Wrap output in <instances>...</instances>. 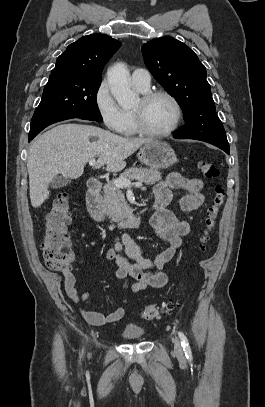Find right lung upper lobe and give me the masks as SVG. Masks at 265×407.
Returning a JSON list of instances; mask_svg holds the SVG:
<instances>
[{
    "mask_svg": "<svg viewBox=\"0 0 265 407\" xmlns=\"http://www.w3.org/2000/svg\"><path fill=\"white\" fill-rule=\"evenodd\" d=\"M121 46V42L103 34L83 36L70 44L56 61L51 76L66 74L101 80L105 64Z\"/></svg>",
    "mask_w": 265,
    "mask_h": 407,
    "instance_id": "1",
    "label": "right lung upper lobe"
}]
</instances>
